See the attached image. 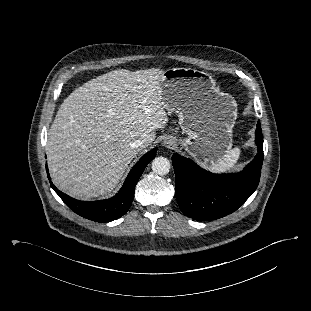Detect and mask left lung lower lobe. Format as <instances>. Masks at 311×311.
Segmentation results:
<instances>
[{"label": "left lung lower lobe", "instance_id": "0a47b994", "mask_svg": "<svg viewBox=\"0 0 311 311\" xmlns=\"http://www.w3.org/2000/svg\"><path fill=\"white\" fill-rule=\"evenodd\" d=\"M254 160L240 173L213 174L176 153L172 163L176 176V198L181 211L195 220H214L237 210L258 186L263 163V135L257 123Z\"/></svg>", "mask_w": 311, "mask_h": 311}]
</instances>
